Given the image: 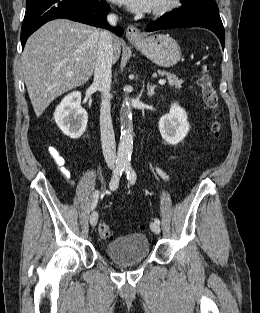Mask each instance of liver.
Masks as SVG:
<instances>
[{"instance_id": "1", "label": "liver", "mask_w": 260, "mask_h": 313, "mask_svg": "<svg viewBox=\"0 0 260 313\" xmlns=\"http://www.w3.org/2000/svg\"><path fill=\"white\" fill-rule=\"evenodd\" d=\"M100 30L68 19L50 21L27 40L21 67L37 117L59 95L85 84L93 74ZM121 53L113 38V62Z\"/></svg>"}]
</instances>
